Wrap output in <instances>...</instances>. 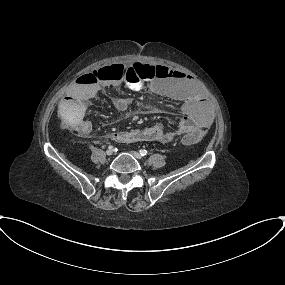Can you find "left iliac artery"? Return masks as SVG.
<instances>
[{
    "mask_svg": "<svg viewBox=\"0 0 285 285\" xmlns=\"http://www.w3.org/2000/svg\"><path fill=\"white\" fill-rule=\"evenodd\" d=\"M147 150H145V149H141L140 150V154H141V156H145V155H147Z\"/></svg>",
    "mask_w": 285,
    "mask_h": 285,
    "instance_id": "44dca946",
    "label": "left iliac artery"
}]
</instances>
